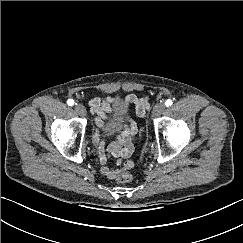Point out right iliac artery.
Listing matches in <instances>:
<instances>
[{"mask_svg": "<svg viewBox=\"0 0 243 243\" xmlns=\"http://www.w3.org/2000/svg\"><path fill=\"white\" fill-rule=\"evenodd\" d=\"M67 104H68L69 106H73V105H74V100H72V99H68Z\"/></svg>", "mask_w": 243, "mask_h": 243, "instance_id": "obj_1", "label": "right iliac artery"}]
</instances>
